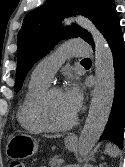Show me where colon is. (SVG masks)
Returning <instances> with one entry per match:
<instances>
[{"instance_id":"1","label":"colon","mask_w":125,"mask_h":167,"mask_svg":"<svg viewBox=\"0 0 125 167\" xmlns=\"http://www.w3.org/2000/svg\"><path fill=\"white\" fill-rule=\"evenodd\" d=\"M8 167H28L27 164L20 160H13L9 163Z\"/></svg>"}]
</instances>
